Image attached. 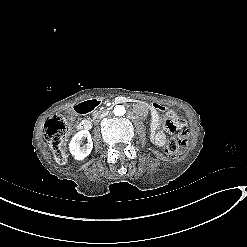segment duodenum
I'll return each mask as SVG.
<instances>
[{"mask_svg": "<svg viewBox=\"0 0 247 247\" xmlns=\"http://www.w3.org/2000/svg\"><path fill=\"white\" fill-rule=\"evenodd\" d=\"M128 102H132V99L128 97H118L114 103L120 104V103H128ZM99 104L100 102L97 99L85 100L77 103L74 106L73 111L77 114L89 113L95 110L99 106ZM91 128H92V122L88 119L81 121L78 126V129L80 130H90Z\"/></svg>", "mask_w": 247, "mask_h": 247, "instance_id": "obj_1", "label": "duodenum"}]
</instances>
